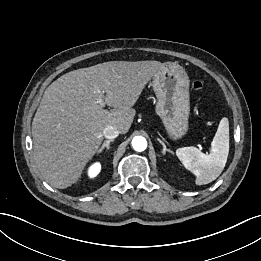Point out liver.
Segmentation results:
<instances>
[{"mask_svg": "<svg viewBox=\"0 0 261 261\" xmlns=\"http://www.w3.org/2000/svg\"><path fill=\"white\" fill-rule=\"evenodd\" d=\"M158 61H109L73 70L45 90L32 122L33 159L44 180L65 189L76 183L100 149L103 131L116 127L126 134L148 81L159 72ZM104 91L110 111L97 103Z\"/></svg>", "mask_w": 261, "mask_h": 261, "instance_id": "liver-1", "label": "liver"}]
</instances>
